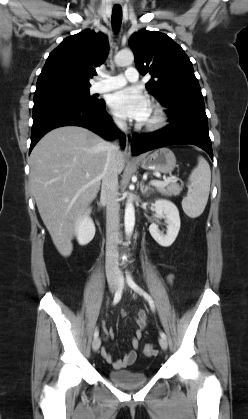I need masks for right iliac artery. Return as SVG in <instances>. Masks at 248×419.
Instances as JSON below:
<instances>
[{
    "label": "right iliac artery",
    "instance_id": "obj_1",
    "mask_svg": "<svg viewBox=\"0 0 248 419\" xmlns=\"http://www.w3.org/2000/svg\"><path fill=\"white\" fill-rule=\"evenodd\" d=\"M123 284H124V279H123V276L120 275L119 276V285H118V289H117V291L115 293V296H114L113 305L117 304L121 299ZM98 335H99V331H98V329H96L95 332H94V338H97Z\"/></svg>",
    "mask_w": 248,
    "mask_h": 419
}]
</instances>
